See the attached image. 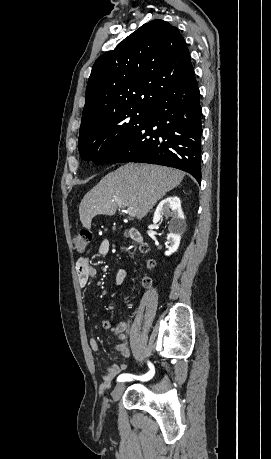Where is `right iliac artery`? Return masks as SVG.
Here are the masks:
<instances>
[{
	"mask_svg": "<svg viewBox=\"0 0 271 459\" xmlns=\"http://www.w3.org/2000/svg\"><path fill=\"white\" fill-rule=\"evenodd\" d=\"M149 367L154 369L155 364L154 363H149ZM152 372V371H149ZM133 379H139V376H135L132 374H121L118 376L117 381L122 382V381H132Z\"/></svg>",
	"mask_w": 271,
	"mask_h": 459,
	"instance_id": "82829eb1",
	"label": "right iliac artery"
}]
</instances>
